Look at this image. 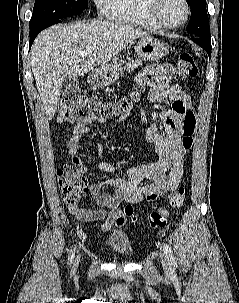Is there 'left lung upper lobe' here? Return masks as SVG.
<instances>
[{
  "instance_id": "5c2ea615",
  "label": "left lung upper lobe",
  "mask_w": 239,
  "mask_h": 303,
  "mask_svg": "<svg viewBox=\"0 0 239 303\" xmlns=\"http://www.w3.org/2000/svg\"><path fill=\"white\" fill-rule=\"evenodd\" d=\"M186 1L191 9V17L187 26V32L193 37L211 38L206 0Z\"/></svg>"
}]
</instances>
